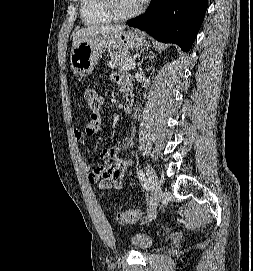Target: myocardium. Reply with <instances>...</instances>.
<instances>
[{
	"instance_id": "obj_1",
	"label": "myocardium",
	"mask_w": 253,
	"mask_h": 271,
	"mask_svg": "<svg viewBox=\"0 0 253 271\" xmlns=\"http://www.w3.org/2000/svg\"><path fill=\"white\" fill-rule=\"evenodd\" d=\"M145 3L146 0L142 1L134 10L122 12L118 7V0H103L105 10L114 20H126L141 14L145 8Z\"/></svg>"
}]
</instances>
